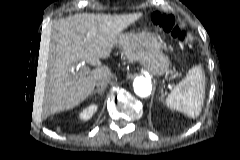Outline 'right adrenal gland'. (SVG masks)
Listing matches in <instances>:
<instances>
[{
    "instance_id": "right-adrenal-gland-1",
    "label": "right adrenal gland",
    "mask_w": 240,
    "mask_h": 160,
    "mask_svg": "<svg viewBox=\"0 0 240 160\" xmlns=\"http://www.w3.org/2000/svg\"><path fill=\"white\" fill-rule=\"evenodd\" d=\"M104 89H97L94 91V94L98 93L99 95H103Z\"/></svg>"
}]
</instances>
